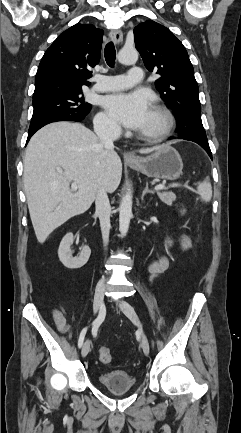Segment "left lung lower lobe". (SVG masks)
<instances>
[{"label":"left lung lower lobe","instance_id":"0a47b994","mask_svg":"<svg viewBox=\"0 0 241 433\" xmlns=\"http://www.w3.org/2000/svg\"><path fill=\"white\" fill-rule=\"evenodd\" d=\"M200 146L203 147L207 151V153L209 154V156L212 158V153H211L210 147L206 146V145H200Z\"/></svg>","mask_w":241,"mask_h":433}]
</instances>
